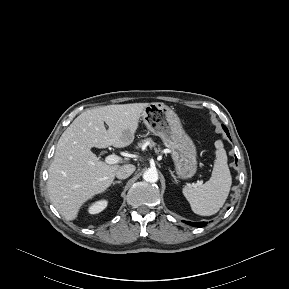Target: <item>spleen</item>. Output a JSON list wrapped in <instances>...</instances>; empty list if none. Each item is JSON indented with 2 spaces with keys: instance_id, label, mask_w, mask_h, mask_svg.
<instances>
[{
  "instance_id": "3e777b00",
  "label": "spleen",
  "mask_w": 289,
  "mask_h": 289,
  "mask_svg": "<svg viewBox=\"0 0 289 289\" xmlns=\"http://www.w3.org/2000/svg\"><path fill=\"white\" fill-rule=\"evenodd\" d=\"M216 148V160L211 178L203 185L185 186L182 190L192 211L201 216H211L220 210L232 184L226 151L220 141L217 142Z\"/></svg>"
}]
</instances>
